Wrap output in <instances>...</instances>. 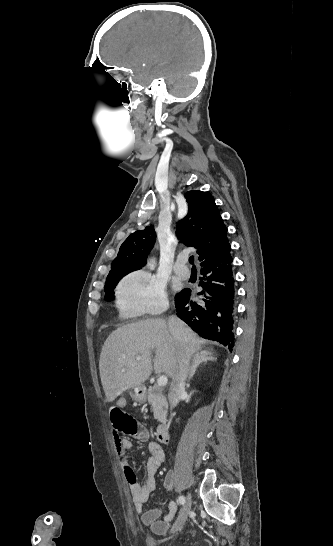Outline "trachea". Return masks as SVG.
<instances>
[{
	"instance_id": "trachea-1",
	"label": "trachea",
	"mask_w": 333,
	"mask_h": 546,
	"mask_svg": "<svg viewBox=\"0 0 333 546\" xmlns=\"http://www.w3.org/2000/svg\"><path fill=\"white\" fill-rule=\"evenodd\" d=\"M189 262L193 265V268H195V266H194V257L193 256H191L189 258Z\"/></svg>"
}]
</instances>
